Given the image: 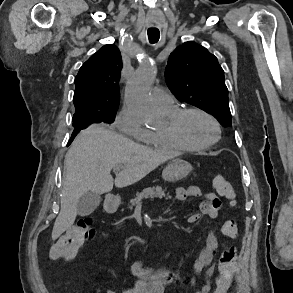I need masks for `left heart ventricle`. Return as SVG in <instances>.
I'll list each match as a JSON object with an SVG mask.
<instances>
[{"instance_id":"obj_1","label":"left heart ventricle","mask_w":293,"mask_h":293,"mask_svg":"<svg viewBox=\"0 0 293 293\" xmlns=\"http://www.w3.org/2000/svg\"><path fill=\"white\" fill-rule=\"evenodd\" d=\"M185 138L192 144L200 145L211 141L215 137L213 124L203 115L188 114L182 123Z\"/></svg>"}]
</instances>
